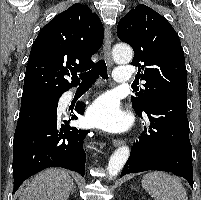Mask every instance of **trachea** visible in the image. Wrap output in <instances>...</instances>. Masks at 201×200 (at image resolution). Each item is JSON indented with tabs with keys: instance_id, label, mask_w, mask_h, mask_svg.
I'll return each mask as SVG.
<instances>
[{
	"instance_id": "obj_1",
	"label": "trachea",
	"mask_w": 201,
	"mask_h": 200,
	"mask_svg": "<svg viewBox=\"0 0 201 200\" xmlns=\"http://www.w3.org/2000/svg\"><path fill=\"white\" fill-rule=\"evenodd\" d=\"M99 75L103 79H108L107 66L103 59H101L96 66H94L91 71L87 73H81L79 76L82 80L81 86H91Z\"/></svg>"
}]
</instances>
